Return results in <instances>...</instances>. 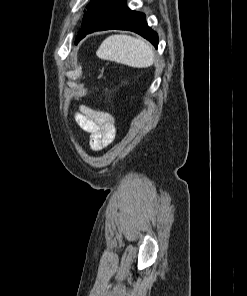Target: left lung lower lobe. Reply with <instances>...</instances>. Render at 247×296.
Instances as JSON below:
<instances>
[{"instance_id":"left-lung-lower-lobe-1","label":"left lung lower lobe","mask_w":247,"mask_h":296,"mask_svg":"<svg viewBox=\"0 0 247 296\" xmlns=\"http://www.w3.org/2000/svg\"><path fill=\"white\" fill-rule=\"evenodd\" d=\"M108 29L136 32L157 48L158 35L147 25L145 14L130 10L126 0H99L92 6L84 15L75 44L89 33Z\"/></svg>"}]
</instances>
